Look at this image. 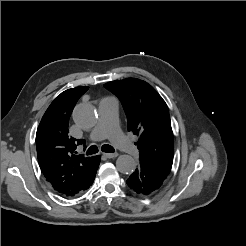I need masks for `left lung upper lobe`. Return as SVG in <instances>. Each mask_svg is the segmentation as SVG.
Here are the masks:
<instances>
[{
	"instance_id": "5c2ea615",
	"label": "left lung upper lobe",
	"mask_w": 246,
	"mask_h": 246,
	"mask_svg": "<svg viewBox=\"0 0 246 246\" xmlns=\"http://www.w3.org/2000/svg\"><path fill=\"white\" fill-rule=\"evenodd\" d=\"M121 101L127 116L128 131L139 137L140 161L164 174L170 173L174 156V138L168 107L147 82L127 78L105 85Z\"/></svg>"
}]
</instances>
